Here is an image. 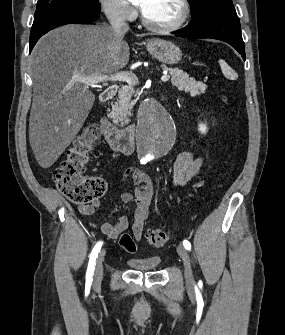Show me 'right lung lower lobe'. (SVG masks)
Masks as SVG:
<instances>
[{
    "instance_id": "1",
    "label": "right lung lower lobe",
    "mask_w": 285,
    "mask_h": 335,
    "mask_svg": "<svg viewBox=\"0 0 285 335\" xmlns=\"http://www.w3.org/2000/svg\"><path fill=\"white\" fill-rule=\"evenodd\" d=\"M99 17V13L79 9H58L34 18L30 33V52L39 38L48 31L66 24H89Z\"/></svg>"
}]
</instances>
